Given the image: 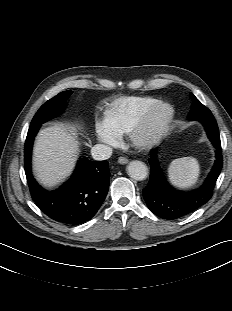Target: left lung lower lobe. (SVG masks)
<instances>
[{
    "mask_svg": "<svg viewBox=\"0 0 232 311\" xmlns=\"http://www.w3.org/2000/svg\"><path fill=\"white\" fill-rule=\"evenodd\" d=\"M201 122L208 138L216 149V161L204 184L194 191L184 192L171 187L166 181L157 161V148L151 151L150 179L143 190L148 208L163 219H177L205 204L211 197L217 178L223 166L218 126L212 113L189 117Z\"/></svg>",
    "mask_w": 232,
    "mask_h": 311,
    "instance_id": "1",
    "label": "left lung lower lobe"
}]
</instances>
